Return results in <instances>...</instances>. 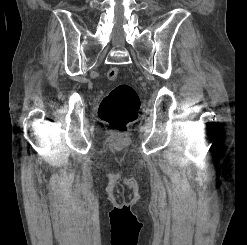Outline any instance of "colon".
<instances>
[{
    "label": "colon",
    "instance_id": "5ec220e1",
    "mask_svg": "<svg viewBox=\"0 0 247 245\" xmlns=\"http://www.w3.org/2000/svg\"><path fill=\"white\" fill-rule=\"evenodd\" d=\"M108 79L116 81L119 69L111 67ZM140 110V99L135 89L127 84L114 87L101 101L98 115L112 130L124 131L136 121Z\"/></svg>",
    "mask_w": 247,
    "mask_h": 245
}]
</instances>
